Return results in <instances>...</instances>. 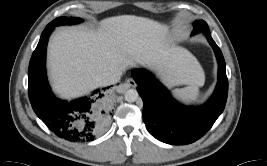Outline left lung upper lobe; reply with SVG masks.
<instances>
[{
  "label": "left lung upper lobe",
  "instance_id": "1",
  "mask_svg": "<svg viewBox=\"0 0 267 166\" xmlns=\"http://www.w3.org/2000/svg\"><path fill=\"white\" fill-rule=\"evenodd\" d=\"M208 31V26L206 24V22L204 21H196L194 23V30L192 32V34H196L198 32H201V31Z\"/></svg>",
  "mask_w": 267,
  "mask_h": 166
}]
</instances>
